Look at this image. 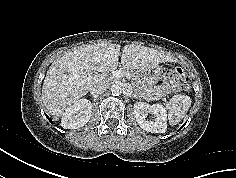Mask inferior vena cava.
<instances>
[{
    "label": "inferior vena cava",
    "mask_w": 236,
    "mask_h": 178,
    "mask_svg": "<svg viewBox=\"0 0 236 178\" xmlns=\"http://www.w3.org/2000/svg\"><path fill=\"white\" fill-rule=\"evenodd\" d=\"M109 85L106 81L99 82L91 88L90 92L92 95L102 94L109 88Z\"/></svg>",
    "instance_id": "inferior-vena-cava-1"
}]
</instances>
